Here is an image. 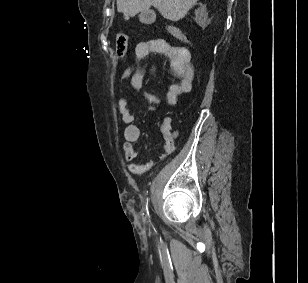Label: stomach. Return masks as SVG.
I'll return each instance as SVG.
<instances>
[{
	"label": "stomach",
	"mask_w": 308,
	"mask_h": 283,
	"mask_svg": "<svg viewBox=\"0 0 308 283\" xmlns=\"http://www.w3.org/2000/svg\"><path fill=\"white\" fill-rule=\"evenodd\" d=\"M140 20H141L142 22H148V21H149V19L146 17V12H142V13L140 14Z\"/></svg>",
	"instance_id": "stomach-1"
}]
</instances>
